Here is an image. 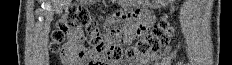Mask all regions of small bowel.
<instances>
[{"mask_svg":"<svg viewBox=\"0 0 232 65\" xmlns=\"http://www.w3.org/2000/svg\"><path fill=\"white\" fill-rule=\"evenodd\" d=\"M117 21H133V23H117ZM104 37H119L125 45H136L140 37H147L153 28V12H117V16H107L105 20ZM122 28V29H120ZM68 42L64 45V58L67 64L77 61V52L83 47L84 38L82 30L70 29ZM179 43L168 45L160 52L141 57L133 62L122 61L108 65H170L177 55Z\"/></svg>","mask_w":232,"mask_h":65,"instance_id":"c3829d8e","label":"small bowel"}]
</instances>
